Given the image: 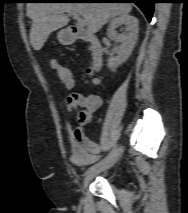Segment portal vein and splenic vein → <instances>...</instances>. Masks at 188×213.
Listing matches in <instances>:
<instances>
[{
	"label": "portal vein and splenic vein",
	"instance_id": "18ae733b",
	"mask_svg": "<svg viewBox=\"0 0 188 213\" xmlns=\"http://www.w3.org/2000/svg\"><path fill=\"white\" fill-rule=\"evenodd\" d=\"M74 15V14H72ZM74 19L77 21V24L81 27L85 26L86 25V22L84 19L78 17L77 15H74Z\"/></svg>",
	"mask_w": 188,
	"mask_h": 213
}]
</instances>
